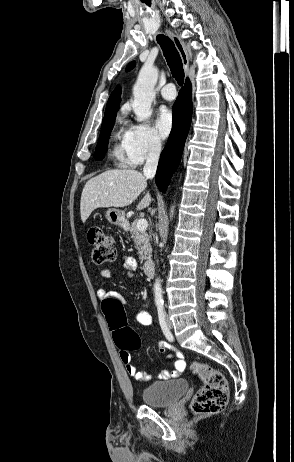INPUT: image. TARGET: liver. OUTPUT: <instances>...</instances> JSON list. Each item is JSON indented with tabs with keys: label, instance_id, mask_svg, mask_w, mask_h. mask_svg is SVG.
Returning <instances> with one entry per match:
<instances>
[{
	"label": "liver",
	"instance_id": "obj_1",
	"mask_svg": "<svg viewBox=\"0 0 294 462\" xmlns=\"http://www.w3.org/2000/svg\"><path fill=\"white\" fill-rule=\"evenodd\" d=\"M147 187V178L132 170H108L85 184L80 201L82 222L97 208L125 207L134 202ZM151 202L149 192L142 198L137 210H143Z\"/></svg>",
	"mask_w": 294,
	"mask_h": 462
}]
</instances>
